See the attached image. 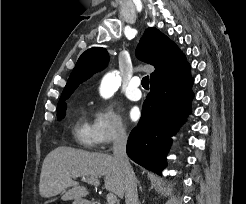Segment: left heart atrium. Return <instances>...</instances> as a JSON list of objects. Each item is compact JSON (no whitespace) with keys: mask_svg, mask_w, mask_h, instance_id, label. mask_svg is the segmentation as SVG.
Here are the masks:
<instances>
[{"mask_svg":"<svg viewBox=\"0 0 246 204\" xmlns=\"http://www.w3.org/2000/svg\"><path fill=\"white\" fill-rule=\"evenodd\" d=\"M141 116V112L139 110V108L137 107H133L131 108V110L129 111V118L131 121H137Z\"/></svg>","mask_w":246,"mask_h":204,"instance_id":"1","label":"left heart atrium"}]
</instances>
